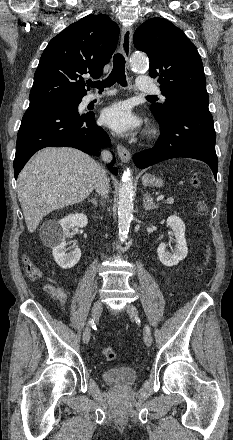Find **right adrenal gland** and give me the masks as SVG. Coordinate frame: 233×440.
<instances>
[{
	"mask_svg": "<svg viewBox=\"0 0 233 440\" xmlns=\"http://www.w3.org/2000/svg\"><path fill=\"white\" fill-rule=\"evenodd\" d=\"M88 201L91 202L95 207L98 206V203L95 199H89Z\"/></svg>",
	"mask_w": 233,
	"mask_h": 440,
	"instance_id": "obj_1",
	"label": "right adrenal gland"
}]
</instances>
